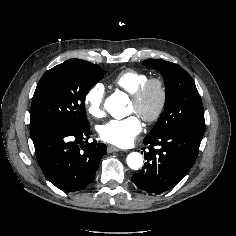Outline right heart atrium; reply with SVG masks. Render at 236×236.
<instances>
[{
  "label": "right heart atrium",
  "mask_w": 236,
  "mask_h": 236,
  "mask_svg": "<svg viewBox=\"0 0 236 236\" xmlns=\"http://www.w3.org/2000/svg\"><path fill=\"white\" fill-rule=\"evenodd\" d=\"M105 89L100 83L93 85L84 96V105L94 118H100L104 114Z\"/></svg>",
  "instance_id": "d8ad5b80"
}]
</instances>
